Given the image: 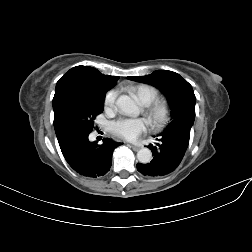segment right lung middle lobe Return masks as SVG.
I'll list each match as a JSON object with an SVG mask.
<instances>
[{"instance_id":"obj_1","label":"right lung middle lobe","mask_w":252,"mask_h":252,"mask_svg":"<svg viewBox=\"0 0 252 252\" xmlns=\"http://www.w3.org/2000/svg\"><path fill=\"white\" fill-rule=\"evenodd\" d=\"M105 92L64 90L53 102L56 134L90 133L93 120L103 112Z\"/></svg>"}]
</instances>
